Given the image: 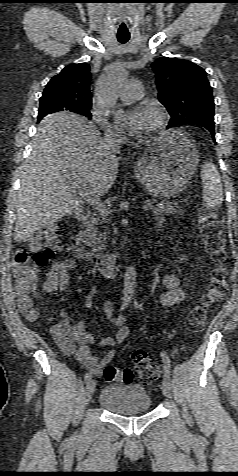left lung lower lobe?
I'll return each instance as SVG.
<instances>
[{"label":"left lung lower lobe","mask_w":238,"mask_h":476,"mask_svg":"<svg viewBox=\"0 0 238 476\" xmlns=\"http://www.w3.org/2000/svg\"><path fill=\"white\" fill-rule=\"evenodd\" d=\"M199 125H201V126L205 127L206 129H208V130L211 132V134H212V138H213L214 142H216V141H215V138H214V135H215L214 122H202V123H200Z\"/></svg>","instance_id":"0a47b994"}]
</instances>
